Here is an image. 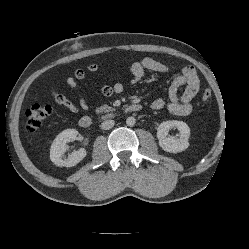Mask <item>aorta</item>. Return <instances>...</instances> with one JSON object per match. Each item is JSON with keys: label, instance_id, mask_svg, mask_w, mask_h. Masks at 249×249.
I'll return each instance as SVG.
<instances>
[{"label": "aorta", "instance_id": "aorta-1", "mask_svg": "<svg viewBox=\"0 0 249 249\" xmlns=\"http://www.w3.org/2000/svg\"><path fill=\"white\" fill-rule=\"evenodd\" d=\"M135 122H136V120H135L134 117H128V118L126 119V124H127L128 126H134Z\"/></svg>", "mask_w": 249, "mask_h": 249}]
</instances>
